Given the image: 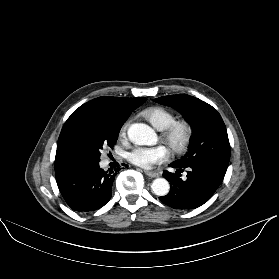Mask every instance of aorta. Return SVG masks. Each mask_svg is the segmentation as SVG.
Returning a JSON list of instances; mask_svg holds the SVG:
<instances>
[{
  "instance_id": "762f6f07",
  "label": "aorta",
  "mask_w": 279,
  "mask_h": 279,
  "mask_svg": "<svg viewBox=\"0 0 279 279\" xmlns=\"http://www.w3.org/2000/svg\"><path fill=\"white\" fill-rule=\"evenodd\" d=\"M128 137L135 144H152L156 141L154 130L143 123L132 124L128 129ZM152 191L158 196H165L170 190L169 182L164 178H157L151 185Z\"/></svg>"
}]
</instances>
